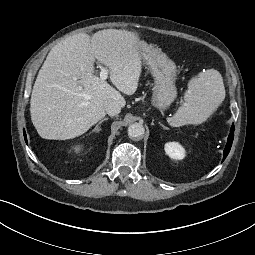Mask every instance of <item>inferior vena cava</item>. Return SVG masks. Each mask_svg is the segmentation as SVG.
<instances>
[{"label":"inferior vena cava","mask_w":255,"mask_h":255,"mask_svg":"<svg viewBox=\"0 0 255 255\" xmlns=\"http://www.w3.org/2000/svg\"><path fill=\"white\" fill-rule=\"evenodd\" d=\"M104 108L109 116H115L120 113L121 107L115 100H107L104 103Z\"/></svg>","instance_id":"inferior-vena-cava-1"}]
</instances>
